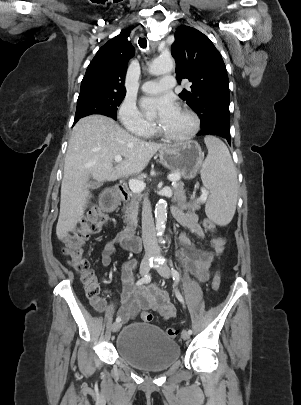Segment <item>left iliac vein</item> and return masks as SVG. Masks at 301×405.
I'll return each mask as SVG.
<instances>
[{"mask_svg": "<svg viewBox=\"0 0 301 405\" xmlns=\"http://www.w3.org/2000/svg\"><path fill=\"white\" fill-rule=\"evenodd\" d=\"M157 271L162 277H164L166 279L170 278L171 272H170L169 267L166 264H162L161 266H159L157 268ZM181 336L184 340H187V339H189L190 334L188 333V331L183 330Z\"/></svg>", "mask_w": 301, "mask_h": 405, "instance_id": "4c4485c4", "label": "left iliac vein"}]
</instances>
